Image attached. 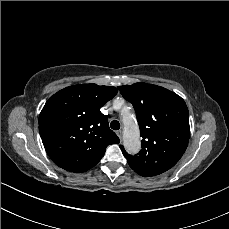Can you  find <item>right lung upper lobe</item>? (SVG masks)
Masks as SVG:
<instances>
[{
  "instance_id": "1",
  "label": "right lung upper lobe",
  "mask_w": 229,
  "mask_h": 229,
  "mask_svg": "<svg viewBox=\"0 0 229 229\" xmlns=\"http://www.w3.org/2000/svg\"><path fill=\"white\" fill-rule=\"evenodd\" d=\"M116 94L115 87L80 84L47 100L39 116V132L56 165L70 172H85L100 161L108 145L119 143L100 111Z\"/></svg>"
}]
</instances>
